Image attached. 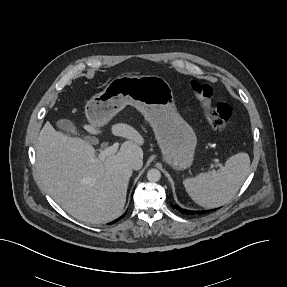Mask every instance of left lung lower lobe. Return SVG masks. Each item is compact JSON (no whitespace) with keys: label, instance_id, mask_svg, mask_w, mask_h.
<instances>
[{"label":"left lung lower lobe","instance_id":"1","mask_svg":"<svg viewBox=\"0 0 287 287\" xmlns=\"http://www.w3.org/2000/svg\"><path fill=\"white\" fill-rule=\"evenodd\" d=\"M173 208L177 209L178 211H180L183 214H195V211H191V210H186V209H182L181 207H179L178 205H172ZM212 211V210H211ZM210 211H198V214H204Z\"/></svg>","mask_w":287,"mask_h":287}]
</instances>
